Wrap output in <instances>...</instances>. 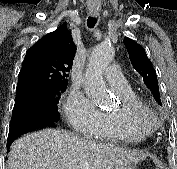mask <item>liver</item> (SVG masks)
<instances>
[{"instance_id": "6515ba94", "label": "liver", "mask_w": 177, "mask_h": 169, "mask_svg": "<svg viewBox=\"0 0 177 169\" xmlns=\"http://www.w3.org/2000/svg\"><path fill=\"white\" fill-rule=\"evenodd\" d=\"M143 155L112 144L44 129L13 142L6 169H130Z\"/></svg>"}]
</instances>
